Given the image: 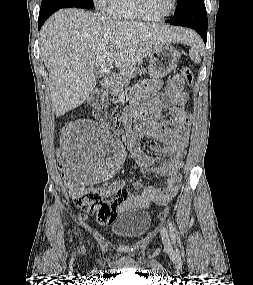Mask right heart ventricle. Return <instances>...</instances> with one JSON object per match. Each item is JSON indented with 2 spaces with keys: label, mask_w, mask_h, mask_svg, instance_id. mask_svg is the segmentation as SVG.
<instances>
[{
  "label": "right heart ventricle",
  "mask_w": 253,
  "mask_h": 285,
  "mask_svg": "<svg viewBox=\"0 0 253 285\" xmlns=\"http://www.w3.org/2000/svg\"><path fill=\"white\" fill-rule=\"evenodd\" d=\"M105 8L114 19L127 21L141 19L135 8L134 0H108Z\"/></svg>",
  "instance_id": "right-heart-ventricle-1"
}]
</instances>
